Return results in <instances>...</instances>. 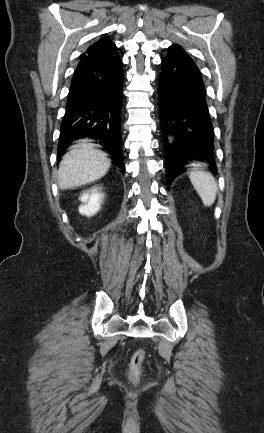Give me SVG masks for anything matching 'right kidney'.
I'll list each match as a JSON object with an SVG mask.
<instances>
[{
    "instance_id": "ca27d5eb",
    "label": "right kidney",
    "mask_w": 264,
    "mask_h": 433,
    "mask_svg": "<svg viewBox=\"0 0 264 433\" xmlns=\"http://www.w3.org/2000/svg\"><path fill=\"white\" fill-rule=\"evenodd\" d=\"M103 195L97 189L83 192L80 201L84 204L80 206L79 213L85 216H93L100 210Z\"/></svg>"
}]
</instances>
